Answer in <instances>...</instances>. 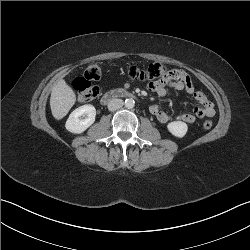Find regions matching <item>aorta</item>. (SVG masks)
<instances>
[{"instance_id":"aorta-1","label":"aorta","mask_w":250,"mask_h":250,"mask_svg":"<svg viewBox=\"0 0 250 250\" xmlns=\"http://www.w3.org/2000/svg\"><path fill=\"white\" fill-rule=\"evenodd\" d=\"M135 106V101L132 98L125 100V107L128 109H132Z\"/></svg>"}]
</instances>
